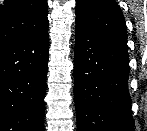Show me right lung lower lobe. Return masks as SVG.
<instances>
[{
    "instance_id": "98d812e1",
    "label": "right lung lower lobe",
    "mask_w": 147,
    "mask_h": 131,
    "mask_svg": "<svg viewBox=\"0 0 147 131\" xmlns=\"http://www.w3.org/2000/svg\"><path fill=\"white\" fill-rule=\"evenodd\" d=\"M48 28L0 45V131H43Z\"/></svg>"
}]
</instances>
